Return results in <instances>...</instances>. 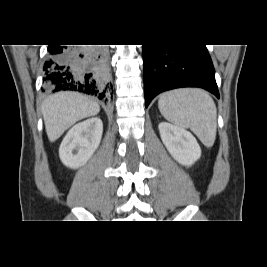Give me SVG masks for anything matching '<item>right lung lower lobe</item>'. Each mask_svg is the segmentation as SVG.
Returning <instances> with one entry per match:
<instances>
[{
    "label": "right lung lower lobe",
    "instance_id": "98d812e1",
    "mask_svg": "<svg viewBox=\"0 0 267 267\" xmlns=\"http://www.w3.org/2000/svg\"><path fill=\"white\" fill-rule=\"evenodd\" d=\"M43 91L71 90L107 101L111 95L107 49L49 45Z\"/></svg>",
    "mask_w": 267,
    "mask_h": 267
}]
</instances>
